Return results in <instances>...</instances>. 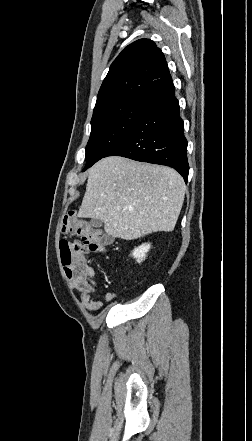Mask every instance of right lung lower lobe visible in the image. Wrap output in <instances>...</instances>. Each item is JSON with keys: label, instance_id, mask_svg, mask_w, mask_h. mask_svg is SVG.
<instances>
[{"label": "right lung lower lobe", "instance_id": "obj_1", "mask_svg": "<svg viewBox=\"0 0 252 441\" xmlns=\"http://www.w3.org/2000/svg\"><path fill=\"white\" fill-rule=\"evenodd\" d=\"M107 156L166 165L178 171L187 182V140L172 81L145 98L137 123Z\"/></svg>", "mask_w": 252, "mask_h": 441}]
</instances>
